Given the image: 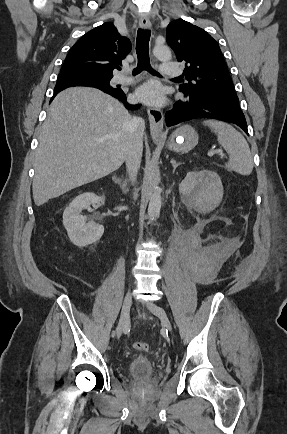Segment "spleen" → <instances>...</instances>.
Instances as JSON below:
<instances>
[{"label": "spleen", "instance_id": "1", "mask_svg": "<svg viewBox=\"0 0 287 434\" xmlns=\"http://www.w3.org/2000/svg\"><path fill=\"white\" fill-rule=\"evenodd\" d=\"M203 124L214 131L218 143L229 154L226 167L240 175H250L253 170V159L244 136L225 122L206 120Z\"/></svg>", "mask_w": 287, "mask_h": 434}]
</instances>
